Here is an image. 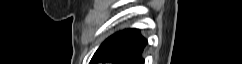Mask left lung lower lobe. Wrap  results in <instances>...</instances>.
Here are the masks:
<instances>
[{
    "label": "left lung lower lobe",
    "mask_w": 242,
    "mask_h": 64,
    "mask_svg": "<svg viewBox=\"0 0 242 64\" xmlns=\"http://www.w3.org/2000/svg\"><path fill=\"white\" fill-rule=\"evenodd\" d=\"M146 44L147 40L138 29L129 28L105 40L92 57L91 64H144L141 55Z\"/></svg>",
    "instance_id": "1"
}]
</instances>
